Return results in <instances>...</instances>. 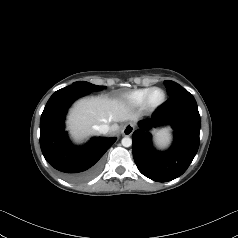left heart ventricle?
Instances as JSON below:
<instances>
[{"label": "left heart ventricle", "mask_w": 238, "mask_h": 238, "mask_svg": "<svg viewBox=\"0 0 238 238\" xmlns=\"http://www.w3.org/2000/svg\"><path fill=\"white\" fill-rule=\"evenodd\" d=\"M161 99H162V93L160 91H155L151 98L153 103H158L161 101Z\"/></svg>", "instance_id": "b2bd125f"}]
</instances>
